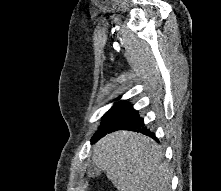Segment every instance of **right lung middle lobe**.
Masks as SVG:
<instances>
[{"instance_id": "right-lung-middle-lobe-1", "label": "right lung middle lobe", "mask_w": 221, "mask_h": 191, "mask_svg": "<svg viewBox=\"0 0 221 191\" xmlns=\"http://www.w3.org/2000/svg\"><path fill=\"white\" fill-rule=\"evenodd\" d=\"M111 109H112V108H111ZM111 109H110V110H111ZM110 110H109V111L107 112V114L103 117L102 122H101V125H100V127L98 128V131L96 132L95 135H97V134L100 132V130H101V128H102V123H103V121L105 120L106 116L109 114Z\"/></svg>"}]
</instances>
